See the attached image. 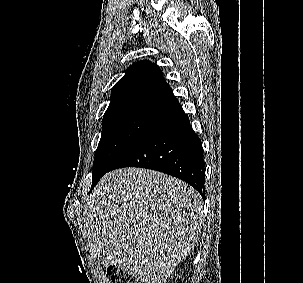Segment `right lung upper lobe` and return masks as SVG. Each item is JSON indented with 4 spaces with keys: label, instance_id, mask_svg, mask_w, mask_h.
I'll return each mask as SVG.
<instances>
[{
    "label": "right lung upper lobe",
    "instance_id": "right-lung-upper-lobe-1",
    "mask_svg": "<svg viewBox=\"0 0 303 283\" xmlns=\"http://www.w3.org/2000/svg\"><path fill=\"white\" fill-rule=\"evenodd\" d=\"M177 104L160 68L148 60L138 61L113 87L103 120L136 114L157 117Z\"/></svg>",
    "mask_w": 303,
    "mask_h": 283
}]
</instances>
